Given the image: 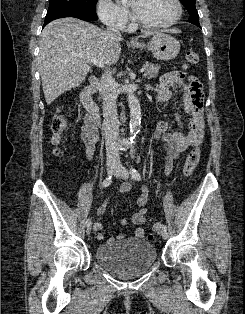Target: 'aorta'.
<instances>
[{
    "instance_id": "762f6f07",
    "label": "aorta",
    "mask_w": 245,
    "mask_h": 314,
    "mask_svg": "<svg viewBox=\"0 0 245 314\" xmlns=\"http://www.w3.org/2000/svg\"><path fill=\"white\" fill-rule=\"evenodd\" d=\"M128 105L130 108V134L135 137L140 130L141 107L138 98L132 93L128 94Z\"/></svg>"
}]
</instances>
